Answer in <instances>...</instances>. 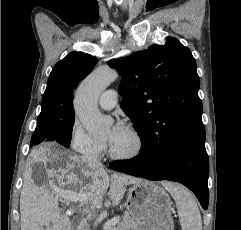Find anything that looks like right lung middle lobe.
Instances as JSON below:
<instances>
[{
	"label": "right lung middle lobe",
	"instance_id": "dd1d6c3e",
	"mask_svg": "<svg viewBox=\"0 0 241 230\" xmlns=\"http://www.w3.org/2000/svg\"><path fill=\"white\" fill-rule=\"evenodd\" d=\"M74 115L61 117L52 113H40L37 117L38 126L31 138V147L41 142L55 141L69 147Z\"/></svg>",
	"mask_w": 241,
	"mask_h": 230
}]
</instances>
